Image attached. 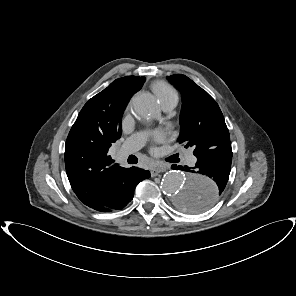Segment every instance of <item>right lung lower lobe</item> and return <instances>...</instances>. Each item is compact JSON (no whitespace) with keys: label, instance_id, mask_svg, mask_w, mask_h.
Here are the masks:
<instances>
[{"label":"right lung lower lobe","instance_id":"98d812e1","mask_svg":"<svg viewBox=\"0 0 296 296\" xmlns=\"http://www.w3.org/2000/svg\"><path fill=\"white\" fill-rule=\"evenodd\" d=\"M149 177V171L137 167L126 168L115 187L93 209L100 212H110L124 208L132 200L137 184Z\"/></svg>","mask_w":296,"mask_h":296}]
</instances>
